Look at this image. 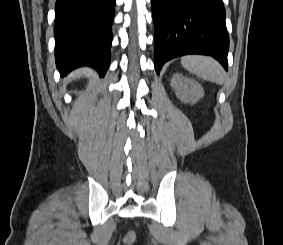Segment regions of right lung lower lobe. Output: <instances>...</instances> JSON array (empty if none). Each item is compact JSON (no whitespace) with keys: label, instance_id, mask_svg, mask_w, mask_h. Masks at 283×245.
I'll return each mask as SVG.
<instances>
[{"label":"right lung lower lobe","instance_id":"obj_1","mask_svg":"<svg viewBox=\"0 0 283 245\" xmlns=\"http://www.w3.org/2000/svg\"><path fill=\"white\" fill-rule=\"evenodd\" d=\"M116 0H56L55 59L61 76L91 66L104 76L111 56Z\"/></svg>","mask_w":283,"mask_h":245}]
</instances>
